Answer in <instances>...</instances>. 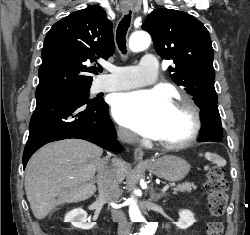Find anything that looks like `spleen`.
<instances>
[{"instance_id": "obj_1", "label": "spleen", "mask_w": 250, "mask_h": 235, "mask_svg": "<svg viewBox=\"0 0 250 235\" xmlns=\"http://www.w3.org/2000/svg\"><path fill=\"white\" fill-rule=\"evenodd\" d=\"M205 157L213 163L217 164L218 166L226 165V161L216 154L207 153Z\"/></svg>"}]
</instances>
